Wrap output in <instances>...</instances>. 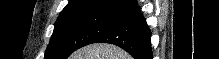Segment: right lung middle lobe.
I'll use <instances>...</instances> for the list:
<instances>
[{
    "mask_svg": "<svg viewBox=\"0 0 219 59\" xmlns=\"http://www.w3.org/2000/svg\"><path fill=\"white\" fill-rule=\"evenodd\" d=\"M125 19V15L114 12V9L84 11L59 17L44 59H67L75 50L92 44Z\"/></svg>",
    "mask_w": 219,
    "mask_h": 59,
    "instance_id": "right-lung-middle-lobe-1",
    "label": "right lung middle lobe"
}]
</instances>
